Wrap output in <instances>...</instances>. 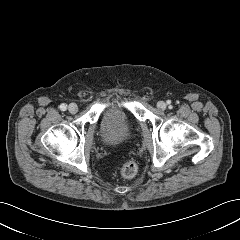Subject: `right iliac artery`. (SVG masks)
I'll use <instances>...</instances> for the list:
<instances>
[{
  "mask_svg": "<svg viewBox=\"0 0 240 240\" xmlns=\"http://www.w3.org/2000/svg\"><path fill=\"white\" fill-rule=\"evenodd\" d=\"M59 108H60V110L65 111L67 109V105L66 104H61L59 106Z\"/></svg>",
  "mask_w": 240,
  "mask_h": 240,
  "instance_id": "1",
  "label": "right iliac artery"
}]
</instances>
